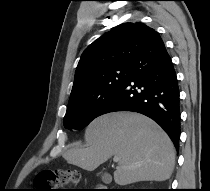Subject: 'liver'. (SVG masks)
Here are the masks:
<instances>
[{
	"label": "liver",
	"mask_w": 210,
	"mask_h": 191,
	"mask_svg": "<svg viewBox=\"0 0 210 191\" xmlns=\"http://www.w3.org/2000/svg\"><path fill=\"white\" fill-rule=\"evenodd\" d=\"M86 147L71 148L64 159L93 171L111 156H118L116 184L165 181L175 164V149L168 135L148 117L133 112H113L93 120L85 131Z\"/></svg>",
	"instance_id": "1"
}]
</instances>
